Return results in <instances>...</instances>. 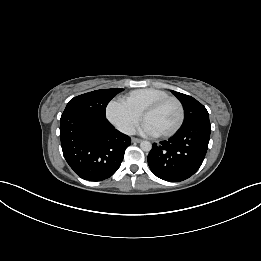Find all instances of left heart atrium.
Segmentation results:
<instances>
[{
    "mask_svg": "<svg viewBox=\"0 0 261 261\" xmlns=\"http://www.w3.org/2000/svg\"><path fill=\"white\" fill-rule=\"evenodd\" d=\"M139 130L141 133L145 135H149V136L158 135V133L153 129V127L145 121L141 124Z\"/></svg>",
    "mask_w": 261,
    "mask_h": 261,
    "instance_id": "left-heart-atrium-1",
    "label": "left heart atrium"
}]
</instances>
